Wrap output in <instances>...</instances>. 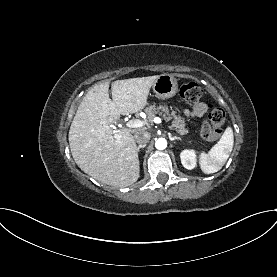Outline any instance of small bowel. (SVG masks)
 Listing matches in <instances>:
<instances>
[{"mask_svg":"<svg viewBox=\"0 0 277 277\" xmlns=\"http://www.w3.org/2000/svg\"><path fill=\"white\" fill-rule=\"evenodd\" d=\"M208 108H209V106L207 105L206 102H201V103L196 104L193 107L192 111H185V113L187 115L201 117L207 111Z\"/></svg>","mask_w":277,"mask_h":277,"instance_id":"obj_1","label":"small bowel"}]
</instances>
